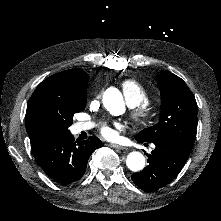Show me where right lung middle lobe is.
<instances>
[{"label": "right lung middle lobe", "instance_id": "dd1d6c3e", "mask_svg": "<svg viewBox=\"0 0 221 221\" xmlns=\"http://www.w3.org/2000/svg\"><path fill=\"white\" fill-rule=\"evenodd\" d=\"M86 98H66L49 91L34 92L28 101L25 118L31 148L70 135L68 127L73 123V115L85 109Z\"/></svg>", "mask_w": 221, "mask_h": 221}]
</instances>
